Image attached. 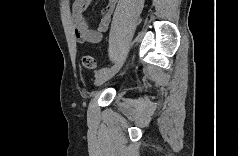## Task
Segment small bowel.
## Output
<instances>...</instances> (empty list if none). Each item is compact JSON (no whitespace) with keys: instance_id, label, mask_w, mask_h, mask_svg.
Segmentation results:
<instances>
[{"instance_id":"small-bowel-1","label":"small bowel","mask_w":239,"mask_h":156,"mask_svg":"<svg viewBox=\"0 0 239 156\" xmlns=\"http://www.w3.org/2000/svg\"><path fill=\"white\" fill-rule=\"evenodd\" d=\"M90 0H75L72 4V27L75 39L79 43H98L103 33L108 29L112 13L116 7L115 0H108L101 10L100 20L95 29L88 26L84 12L88 8Z\"/></svg>"}]
</instances>
